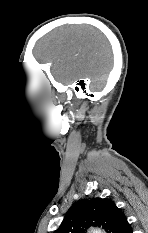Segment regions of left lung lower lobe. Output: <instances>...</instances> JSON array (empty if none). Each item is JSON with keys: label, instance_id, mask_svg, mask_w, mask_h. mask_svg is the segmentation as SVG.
<instances>
[{"label": "left lung lower lobe", "instance_id": "left-lung-lower-lobe-1", "mask_svg": "<svg viewBox=\"0 0 148 233\" xmlns=\"http://www.w3.org/2000/svg\"><path fill=\"white\" fill-rule=\"evenodd\" d=\"M126 233H132V228H129Z\"/></svg>", "mask_w": 148, "mask_h": 233}]
</instances>
